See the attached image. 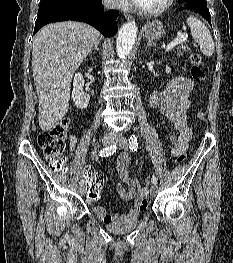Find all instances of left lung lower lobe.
Returning <instances> with one entry per match:
<instances>
[{"mask_svg": "<svg viewBox=\"0 0 233 263\" xmlns=\"http://www.w3.org/2000/svg\"><path fill=\"white\" fill-rule=\"evenodd\" d=\"M180 9H187L198 12L211 24V15L207 8V4L184 3Z\"/></svg>", "mask_w": 233, "mask_h": 263, "instance_id": "1", "label": "left lung lower lobe"}]
</instances>
